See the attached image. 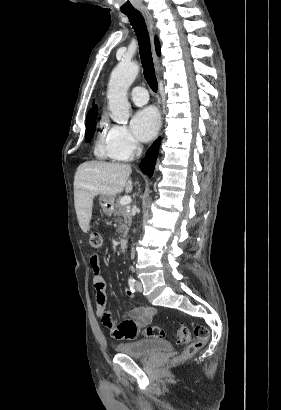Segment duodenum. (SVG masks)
I'll return each mask as SVG.
<instances>
[{
  "label": "duodenum",
  "mask_w": 281,
  "mask_h": 410,
  "mask_svg": "<svg viewBox=\"0 0 281 410\" xmlns=\"http://www.w3.org/2000/svg\"><path fill=\"white\" fill-rule=\"evenodd\" d=\"M126 247H127V240H126V239H121V240L119 241V248H120V250L123 252V251L126 250Z\"/></svg>",
  "instance_id": "1"
}]
</instances>
